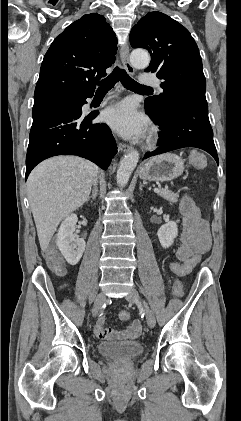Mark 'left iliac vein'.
Returning <instances> with one entry per match:
<instances>
[{"label": "left iliac vein", "instance_id": "obj_1", "mask_svg": "<svg viewBox=\"0 0 241 421\" xmlns=\"http://www.w3.org/2000/svg\"><path fill=\"white\" fill-rule=\"evenodd\" d=\"M126 300L132 303H136V304L141 302L140 295L138 291L134 288L130 290V292L126 296ZM144 309H145L147 324L149 327L153 328L156 323L155 316L153 312L147 306H145Z\"/></svg>", "mask_w": 241, "mask_h": 421}]
</instances>
